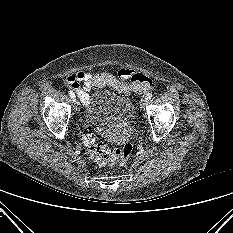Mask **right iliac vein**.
<instances>
[{
  "label": "right iliac vein",
  "mask_w": 233,
  "mask_h": 233,
  "mask_svg": "<svg viewBox=\"0 0 233 233\" xmlns=\"http://www.w3.org/2000/svg\"><path fill=\"white\" fill-rule=\"evenodd\" d=\"M73 102L75 103V110L78 111L79 110V106H78V102L76 101V99H73Z\"/></svg>",
  "instance_id": "63e3f726"
}]
</instances>
